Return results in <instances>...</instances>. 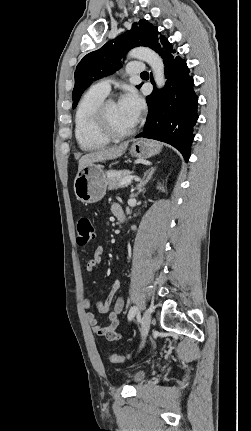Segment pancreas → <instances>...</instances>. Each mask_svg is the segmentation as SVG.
Listing matches in <instances>:
<instances>
[{"label": "pancreas", "mask_w": 251, "mask_h": 431, "mask_svg": "<svg viewBox=\"0 0 251 431\" xmlns=\"http://www.w3.org/2000/svg\"><path fill=\"white\" fill-rule=\"evenodd\" d=\"M131 173L132 172L128 171V170H122V171H117V172L116 171L108 172L107 173V180H106L108 190H113V189L118 188V187L127 186L129 183L125 184V185H120V181L123 178L130 176Z\"/></svg>", "instance_id": "obj_1"}]
</instances>
